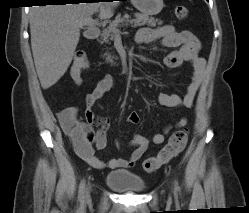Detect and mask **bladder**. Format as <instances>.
Returning <instances> with one entry per match:
<instances>
[{
  "label": "bladder",
  "instance_id": "bladder-1",
  "mask_svg": "<svg viewBox=\"0 0 249 213\" xmlns=\"http://www.w3.org/2000/svg\"><path fill=\"white\" fill-rule=\"evenodd\" d=\"M105 184L111 189L123 192H142L146 189L144 179L128 170L109 172L105 177Z\"/></svg>",
  "mask_w": 249,
  "mask_h": 213
}]
</instances>
